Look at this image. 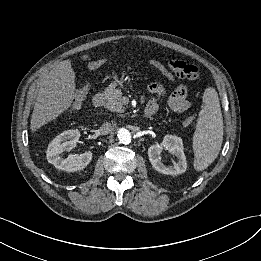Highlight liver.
<instances>
[{
    "instance_id": "obj_1",
    "label": "liver",
    "mask_w": 261,
    "mask_h": 261,
    "mask_svg": "<svg viewBox=\"0 0 261 261\" xmlns=\"http://www.w3.org/2000/svg\"><path fill=\"white\" fill-rule=\"evenodd\" d=\"M75 86V73L70 60L61 61L45 76L31 117L32 132L54 120L71 106Z\"/></svg>"
}]
</instances>
